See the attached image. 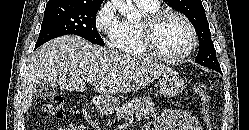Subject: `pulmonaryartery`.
<instances>
[{
	"mask_svg": "<svg viewBox=\"0 0 249 130\" xmlns=\"http://www.w3.org/2000/svg\"><path fill=\"white\" fill-rule=\"evenodd\" d=\"M135 1L139 2V3H144V4L152 5V6H155V5L159 4L158 0H135Z\"/></svg>",
	"mask_w": 249,
	"mask_h": 130,
	"instance_id": "e3ab8cb5",
	"label": "pulmonary artery"
}]
</instances>
